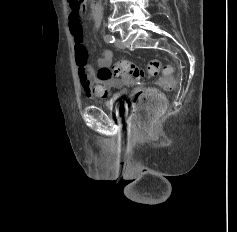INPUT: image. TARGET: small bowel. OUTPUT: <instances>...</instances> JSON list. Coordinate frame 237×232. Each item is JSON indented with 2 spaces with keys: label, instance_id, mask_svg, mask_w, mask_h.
<instances>
[{
  "label": "small bowel",
  "instance_id": "c3829d8e",
  "mask_svg": "<svg viewBox=\"0 0 237 232\" xmlns=\"http://www.w3.org/2000/svg\"><path fill=\"white\" fill-rule=\"evenodd\" d=\"M101 9H93V19L98 26L101 21ZM69 28L74 40L75 58L78 67V74L81 87L89 98H105L115 89L122 86L120 79L115 77L111 72L113 61V52L106 49L97 59L98 70L95 71L88 65V52L84 45L83 28L80 19V13L71 11L69 14ZM118 94L112 96L111 101L115 100Z\"/></svg>",
  "mask_w": 237,
  "mask_h": 232
}]
</instances>
